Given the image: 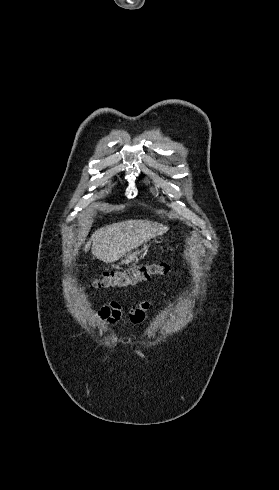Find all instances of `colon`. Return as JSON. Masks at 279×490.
Wrapping results in <instances>:
<instances>
[{"label": "colon", "instance_id": "1", "mask_svg": "<svg viewBox=\"0 0 279 490\" xmlns=\"http://www.w3.org/2000/svg\"><path fill=\"white\" fill-rule=\"evenodd\" d=\"M172 268L167 263H144L127 270H112L103 274L93 283L96 290L129 288L153 278L170 274Z\"/></svg>", "mask_w": 279, "mask_h": 490}]
</instances>
